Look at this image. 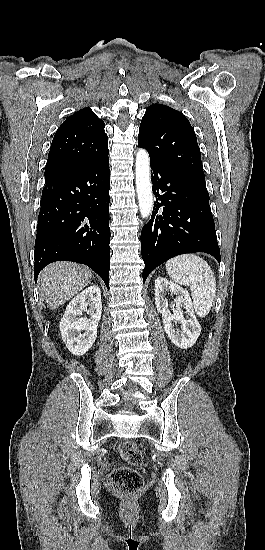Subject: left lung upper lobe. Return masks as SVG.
<instances>
[{
    "mask_svg": "<svg viewBox=\"0 0 265 550\" xmlns=\"http://www.w3.org/2000/svg\"><path fill=\"white\" fill-rule=\"evenodd\" d=\"M138 146L146 148L151 159L206 189L197 138L181 112L162 104L149 106L141 120Z\"/></svg>",
    "mask_w": 265,
    "mask_h": 550,
    "instance_id": "obj_1",
    "label": "left lung upper lobe"
}]
</instances>
